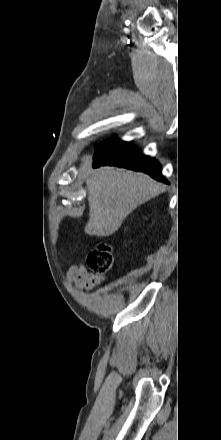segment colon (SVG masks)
<instances>
[{
	"label": "colon",
	"instance_id": "5ec220e1",
	"mask_svg": "<svg viewBox=\"0 0 221 440\" xmlns=\"http://www.w3.org/2000/svg\"><path fill=\"white\" fill-rule=\"evenodd\" d=\"M89 268L97 275L103 276L113 265L112 248L106 243H101L92 250L87 257Z\"/></svg>",
	"mask_w": 221,
	"mask_h": 440
}]
</instances>
